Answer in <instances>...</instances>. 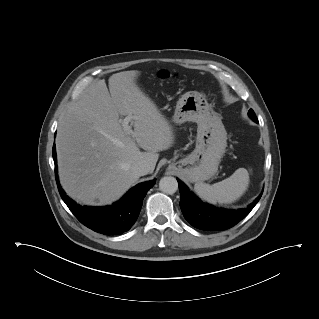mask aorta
<instances>
[{"label": "aorta", "instance_id": "1", "mask_svg": "<svg viewBox=\"0 0 319 319\" xmlns=\"http://www.w3.org/2000/svg\"><path fill=\"white\" fill-rule=\"evenodd\" d=\"M159 189L166 194H174L178 189V182L172 176L161 178L159 182Z\"/></svg>", "mask_w": 319, "mask_h": 319}]
</instances>
